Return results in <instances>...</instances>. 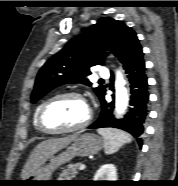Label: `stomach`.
<instances>
[{
  "label": "stomach",
  "instance_id": "1",
  "mask_svg": "<svg viewBox=\"0 0 178 186\" xmlns=\"http://www.w3.org/2000/svg\"><path fill=\"white\" fill-rule=\"evenodd\" d=\"M103 146L102 139L93 133H84L72 141V143L61 153L49 158L48 163L41 165L26 180L30 186H45L51 181L52 173L62 164L72 160L76 156L84 157L98 153Z\"/></svg>",
  "mask_w": 178,
  "mask_h": 186
}]
</instances>
